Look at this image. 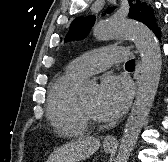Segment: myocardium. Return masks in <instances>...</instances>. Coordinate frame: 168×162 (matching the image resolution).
Here are the masks:
<instances>
[{"instance_id":"myocardium-1","label":"myocardium","mask_w":168,"mask_h":162,"mask_svg":"<svg viewBox=\"0 0 168 162\" xmlns=\"http://www.w3.org/2000/svg\"><path fill=\"white\" fill-rule=\"evenodd\" d=\"M77 109L79 112V115L81 116V118L83 119V121L86 124H98L99 120L98 118L94 117L85 107L82 98L78 97L77 100Z\"/></svg>"}]
</instances>
